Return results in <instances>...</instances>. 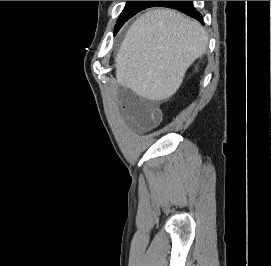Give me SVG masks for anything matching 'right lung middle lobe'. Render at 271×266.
<instances>
[{
    "label": "right lung middle lobe",
    "mask_w": 271,
    "mask_h": 266,
    "mask_svg": "<svg viewBox=\"0 0 271 266\" xmlns=\"http://www.w3.org/2000/svg\"><path fill=\"white\" fill-rule=\"evenodd\" d=\"M159 1H127L125 8L123 9L120 17L115 25L114 35L122 27V25L136 13L149 7L155 6Z\"/></svg>",
    "instance_id": "obj_1"
}]
</instances>
